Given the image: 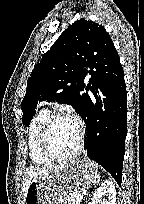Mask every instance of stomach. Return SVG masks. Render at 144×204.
Here are the masks:
<instances>
[{"label":"stomach","mask_w":144,"mask_h":204,"mask_svg":"<svg viewBox=\"0 0 144 204\" xmlns=\"http://www.w3.org/2000/svg\"><path fill=\"white\" fill-rule=\"evenodd\" d=\"M97 176L98 166L89 159L67 163L49 176L32 181L24 204H63L70 194H83Z\"/></svg>","instance_id":"stomach-1"}]
</instances>
